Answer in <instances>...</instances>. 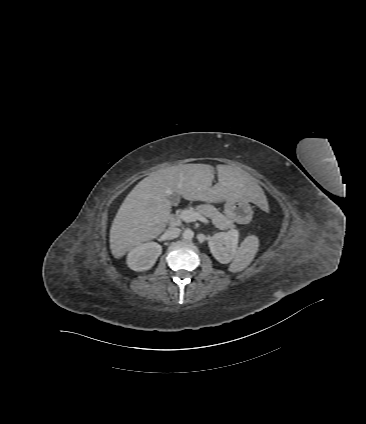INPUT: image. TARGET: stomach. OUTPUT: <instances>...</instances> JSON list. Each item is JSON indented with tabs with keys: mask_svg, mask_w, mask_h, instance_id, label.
Returning <instances> with one entry per match:
<instances>
[{
	"mask_svg": "<svg viewBox=\"0 0 366 424\" xmlns=\"http://www.w3.org/2000/svg\"><path fill=\"white\" fill-rule=\"evenodd\" d=\"M241 211H251L249 200L229 199L226 200L224 212L226 216L234 221H242Z\"/></svg>",
	"mask_w": 366,
	"mask_h": 424,
	"instance_id": "1",
	"label": "stomach"
}]
</instances>
